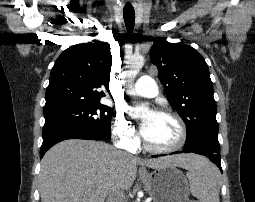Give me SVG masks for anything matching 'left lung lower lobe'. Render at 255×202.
I'll list each match as a JSON object with an SVG mask.
<instances>
[{
	"mask_svg": "<svg viewBox=\"0 0 255 202\" xmlns=\"http://www.w3.org/2000/svg\"><path fill=\"white\" fill-rule=\"evenodd\" d=\"M196 153L200 155H204L209 158L214 164L218 166V168L222 171L221 168V159H220V148H204V149H183V151L173 152L172 154L178 153Z\"/></svg>",
	"mask_w": 255,
	"mask_h": 202,
	"instance_id": "0a47b994",
	"label": "left lung lower lobe"
}]
</instances>
